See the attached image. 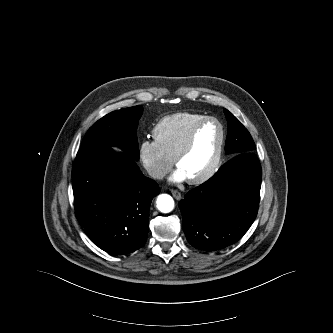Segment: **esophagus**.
Wrapping results in <instances>:
<instances>
[{"mask_svg":"<svg viewBox=\"0 0 333 333\" xmlns=\"http://www.w3.org/2000/svg\"><path fill=\"white\" fill-rule=\"evenodd\" d=\"M172 195L174 196L175 199L180 200L181 199V193L177 190H172L171 191Z\"/></svg>","mask_w":333,"mask_h":333,"instance_id":"obj_1","label":"esophagus"}]
</instances>
